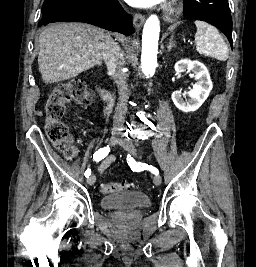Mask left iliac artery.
I'll list each match as a JSON object with an SVG mask.
<instances>
[{
  "mask_svg": "<svg viewBox=\"0 0 256 267\" xmlns=\"http://www.w3.org/2000/svg\"><path fill=\"white\" fill-rule=\"evenodd\" d=\"M127 162L130 166V168L132 170H149L151 171L153 174L155 175H158L159 174V171L153 167V166H149L148 164H145V163H141V162H136L130 155L127 156Z\"/></svg>",
  "mask_w": 256,
  "mask_h": 267,
  "instance_id": "obj_1",
  "label": "left iliac artery"
}]
</instances>
